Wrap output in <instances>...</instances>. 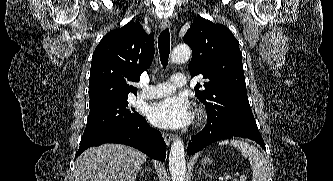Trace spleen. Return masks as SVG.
Wrapping results in <instances>:
<instances>
[{
  "mask_svg": "<svg viewBox=\"0 0 333 181\" xmlns=\"http://www.w3.org/2000/svg\"><path fill=\"white\" fill-rule=\"evenodd\" d=\"M228 143V140H224L220 142L219 145H226ZM230 144L231 146L237 148L243 157L249 159L252 167V181H268L270 174L269 163L256 147L237 139L231 140Z\"/></svg>",
  "mask_w": 333,
  "mask_h": 181,
  "instance_id": "obj_1",
  "label": "spleen"
}]
</instances>
